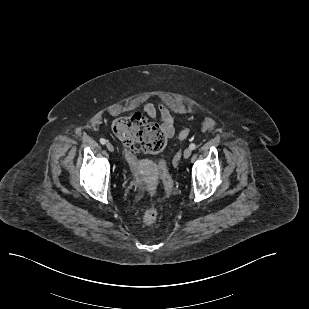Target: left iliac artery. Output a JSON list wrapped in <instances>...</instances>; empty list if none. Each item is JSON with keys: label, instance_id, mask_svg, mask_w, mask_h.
<instances>
[{"label": "left iliac artery", "instance_id": "1", "mask_svg": "<svg viewBox=\"0 0 309 309\" xmlns=\"http://www.w3.org/2000/svg\"><path fill=\"white\" fill-rule=\"evenodd\" d=\"M189 148H190L191 150H194V149L196 148V145H195L194 143H191L190 146H189Z\"/></svg>", "mask_w": 309, "mask_h": 309}]
</instances>
